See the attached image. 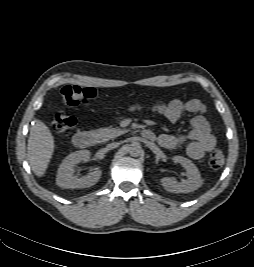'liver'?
I'll list each match as a JSON object with an SVG mask.
<instances>
[{
  "label": "liver",
  "mask_w": 254,
  "mask_h": 267,
  "mask_svg": "<svg viewBox=\"0 0 254 267\" xmlns=\"http://www.w3.org/2000/svg\"><path fill=\"white\" fill-rule=\"evenodd\" d=\"M54 137L44 122L35 119L30 128L27 156L32 171L36 176H44L52 158Z\"/></svg>",
  "instance_id": "1"
}]
</instances>
